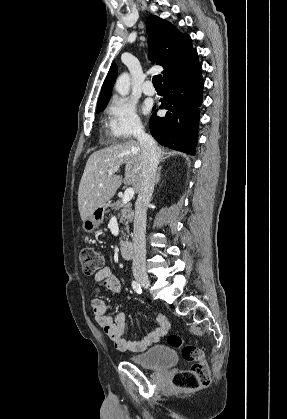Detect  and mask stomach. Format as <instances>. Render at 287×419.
<instances>
[{"mask_svg": "<svg viewBox=\"0 0 287 419\" xmlns=\"http://www.w3.org/2000/svg\"><path fill=\"white\" fill-rule=\"evenodd\" d=\"M108 206L109 204L105 207L95 209L92 214L83 221L82 227L84 231L91 233L99 227L104 220V215Z\"/></svg>", "mask_w": 287, "mask_h": 419, "instance_id": "obj_1", "label": "stomach"}]
</instances>
